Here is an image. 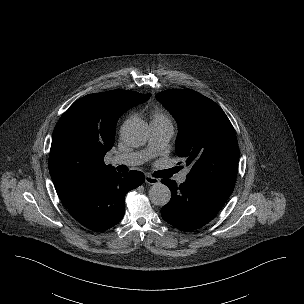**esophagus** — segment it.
<instances>
[{"label":"esophagus","mask_w":304,"mask_h":304,"mask_svg":"<svg viewBox=\"0 0 304 304\" xmlns=\"http://www.w3.org/2000/svg\"><path fill=\"white\" fill-rule=\"evenodd\" d=\"M159 181L160 180L158 178L152 177L150 175L145 176V182L150 184V185L158 184Z\"/></svg>","instance_id":"34e87169"}]
</instances>
